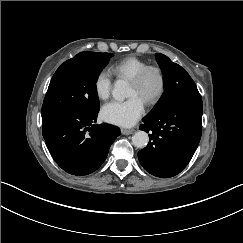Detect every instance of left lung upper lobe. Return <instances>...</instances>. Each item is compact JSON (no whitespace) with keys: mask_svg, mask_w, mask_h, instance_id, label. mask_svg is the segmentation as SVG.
<instances>
[{"mask_svg":"<svg viewBox=\"0 0 243 243\" xmlns=\"http://www.w3.org/2000/svg\"><path fill=\"white\" fill-rule=\"evenodd\" d=\"M156 60L163 72L165 91L160 101L145 118L157 116L177 99L186 97L201 98L196 84L180 65L172 62L167 56L160 53H156Z\"/></svg>","mask_w":243,"mask_h":243,"instance_id":"1","label":"left lung upper lobe"}]
</instances>
